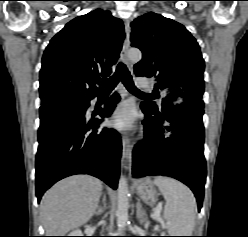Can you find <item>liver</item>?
Returning <instances> with one entry per match:
<instances>
[{"label":"liver","mask_w":248,"mask_h":237,"mask_svg":"<svg viewBox=\"0 0 248 237\" xmlns=\"http://www.w3.org/2000/svg\"><path fill=\"white\" fill-rule=\"evenodd\" d=\"M101 191L102 182L88 175L71 176L52 186L40 203L46 236H64L87 223L98 208Z\"/></svg>","instance_id":"obj_1"}]
</instances>
